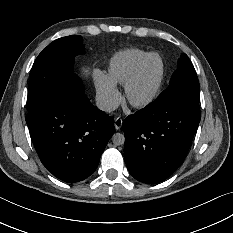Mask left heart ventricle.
Here are the masks:
<instances>
[{
  "label": "left heart ventricle",
  "mask_w": 233,
  "mask_h": 233,
  "mask_svg": "<svg viewBox=\"0 0 233 233\" xmlns=\"http://www.w3.org/2000/svg\"><path fill=\"white\" fill-rule=\"evenodd\" d=\"M163 74V59L154 56L131 89L135 101H146L155 93Z\"/></svg>",
  "instance_id": "b2bd125f"
}]
</instances>
